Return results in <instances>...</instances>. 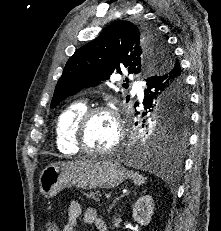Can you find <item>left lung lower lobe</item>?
Listing matches in <instances>:
<instances>
[{
	"label": "left lung lower lobe",
	"mask_w": 221,
	"mask_h": 231,
	"mask_svg": "<svg viewBox=\"0 0 221 231\" xmlns=\"http://www.w3.org/2000/svg\"><path fill=\"white\" fill-rule=\"evenodd\" d=\"M179 64H177L176 60L174 61L171 69L155 74L146 79L147 86L144 90V101H150L157 96L165 97L168 93V96H170V94H172V90H175L176 88L186 89L185 78L180 66H178ZM168 96L166 98H168ZM167 100L164 103L166 104L168 102L166 106H169L170 104H178L175 99H173L174 103L173 100L171 103V99L169 101ZM185 142L186 139L170 141L166 138L153 136L147 142L146 147H143L135 152L134 159L137 161H156L163 150L169 148L172 155H174V160L178 162L176 156L182 151L185 146Z\"/></svg>",
	"instance_id": "0a47b994"
}]
</instances>
